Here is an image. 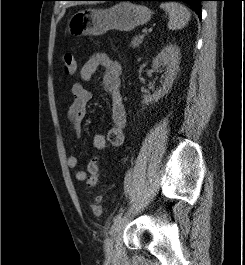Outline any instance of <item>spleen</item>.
<instances>
[{"mask_svg":"<svg viewBox=\"0 0 245 265\" xmlns=\"http://www.w3.org/2000/svg\"><path fill=\"white\" fill-rule=\"evenodd\" d=\"M160 7L169 15L168 28L171 30L185 27L190 20L189 10L180 3L166 2L162 3Z\"/></svg>","mask_w":245,"mask_h":265,"instance_id":"1","label":"spleen"}]
</instances>
